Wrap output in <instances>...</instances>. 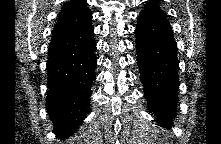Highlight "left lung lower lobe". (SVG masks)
<instances>
[{"label": "left lung lower lobe", "mask_w": 221, "mask_h": 144, "mask_svg": "<svg viewBox=\"0 0 221 144\" xmlns=\"http://www.w3.org/2000/svg\"><path fill=\"white\" fill-rule=\"evenodd\" d=\"M136 50L147 105L159 124L169 128L176 116L179 79L177 44L166 18L139 15Z\"/></svg>", "instance_id": "0a47b994"}]
</instances>
